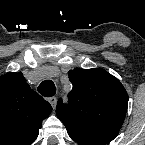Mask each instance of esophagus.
Listing matches in <instances>:
<instances>
[{"label": "esophagus", "mask_w": 145, "mask_h": 145, "mask_svg": "<svg viewBox=\"0 0 145 145\" xmlns=\"http://www.w3.org/2000/svg\"><path fill=\"white\" fill-rule=\"evenodd\" d=\"M49 102H50L52 108L55 110L56 104H57V99H56V97H51V98H49Z\"/></svg>", "instance_id": "esophagus-1"}]
</instances>
